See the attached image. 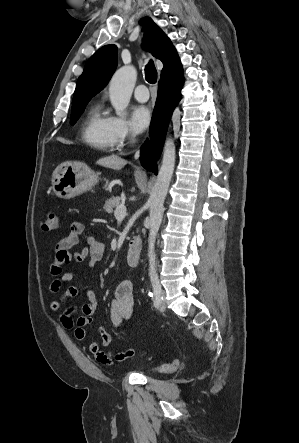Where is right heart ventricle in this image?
<instances>
[{
  "instance_id": "e07e8e85",
  "label": "right heart ventricle",
  "mask_w": 299,
  "mask_h": 443,
  "mask_svg": "<svg viewBox=\"0 0 299 443\" xmlns=\"http://www.w3.org/2000/svg\"><path fill=\"white\" fill-rule=\"evenodd\" d=\"M81 137L89 147L98 151H109L113 148L109 134V117L99 105L90 108L82 126Z\"/></svg>"
}]
</instances>
